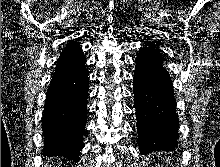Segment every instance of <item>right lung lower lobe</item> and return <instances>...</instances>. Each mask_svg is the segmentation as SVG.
<instances>
[{
    "label": "right lung lower lobe",
    "instance_id": "obj_1",
    "mask_svg": "<svg viewBox=\"0 0 220 167\" xmlns=\"http://www.w3.org/2000/svg\"><path fill=\"white\" fill-rule=\"evenodd\" d=\"M88 89L85 61L54 72L42 118L44 156L78 160L87 118Z\"/></svg>",
    "mask_w": 220,
    "mask_h": 167
}]
</instances>
